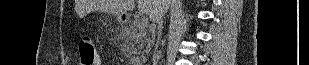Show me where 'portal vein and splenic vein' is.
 <instances>
[{
  "mask_svg": "<svg viewBox=\"0 0 309 65\" xmlns=\"http://www.w3.org/2000/svg\"><path fill=\"white\" fill-rule=\"evenodd\" d=\"M143 15V14H142ZM148 18L147 17H145V16H142V19H141V25L143 26V27H147V25H148Z\"/></svg>",
  "mask_w": 309,
  "mask_h": 65,
  "instance_id": "obj_1",
  "label": "portal vein and splenic vein"
}]
</instances>
